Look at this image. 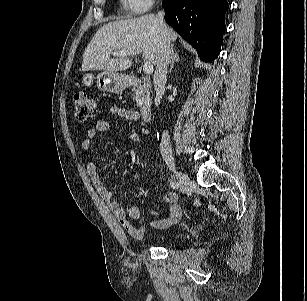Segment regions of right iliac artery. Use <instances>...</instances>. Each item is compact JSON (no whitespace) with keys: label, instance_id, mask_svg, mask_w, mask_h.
<instances>
[{"label":"right iliac artery","instance_id":"82829eb1","mask_svg":"<svg viewBox=\"0 0 307 301\" xmlns=\"http://www.w3.org/2000/svg\"><path fill=\"white\" fill-rule=\"evenodd\" d=\"M179 182H177V181H175V180H172L171 182H170V186L172 187V188H174V189H177L178 187H179Z\"/></svg>","mask_w":307,"mask_h":301}]
</instances>
